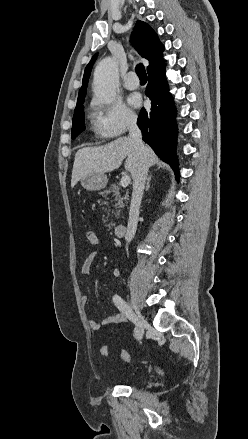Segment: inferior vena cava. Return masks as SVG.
Here are the masks:
<instances>
[{"label":"inferior vena cava","instance_id":"1","mask_svg":"<svg viewBox=\"0 0 248 439\" xmlns=\"http://www.w3.org/2000/svg\"><path fill=\"white\" fill-rule=\"evenodd\" d=\"M129 138L133 140L139 151V163L133 175V192L131 198L127 232L125 235V240L128 243L132 241L136 233L139 209L149 168L147 154L142 141V133L136 123V118L134 117L130 118L129 120Z\"/></svg>","mask_w":248,"mask_h":439}]
</instances>
